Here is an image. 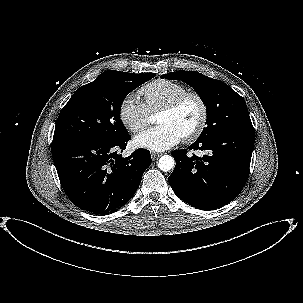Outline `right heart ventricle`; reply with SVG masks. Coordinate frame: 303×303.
Returning <instances> with one entry per match:
<instances>
[{
  "mask_svg": "<svg viewBox=\"0 0 303 303\" xmlns=\"http://www.w3.org/2000/svg\"><path fill=\"white\" fill-rule=\"evenodd\" d=\"M187 92V88L175 81L157 79L144 85L140 94L144 97V103L149 112H157L174 98Z\"/></svg>",
  "mask_w": 303,
  "mask_h": 303,
  "instance_id": "e07e8e85",
  "label": "right heart ventricle"
}]
</instances>
